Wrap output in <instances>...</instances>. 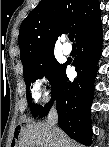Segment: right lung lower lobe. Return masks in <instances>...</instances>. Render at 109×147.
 Returning <instances> with one entry per match:
<instances>
[{
	"mask_svg": "<svg viewBox=\"0 0 109 147\" xmlns=\"http://www.w3.org/2000/svg\"><path fill=\"white\" fill-rule=\"evenodd\" d=\"M76 42L79 51L73 61L77 71L76 79L69 81L66 77L68 63H65L52 86L51 101L43 107L38 117H45L56 100L59 127L72 139L90 145L92 140L90 107L102 43L100 16L76 38Z\"/></svg>",
	"mask_w": 109,
	"mask_h": 147,
	"instance_id": "1",
	"label": "right lung lower lobe"
}]
</instances>
